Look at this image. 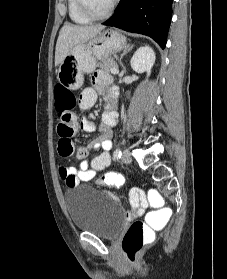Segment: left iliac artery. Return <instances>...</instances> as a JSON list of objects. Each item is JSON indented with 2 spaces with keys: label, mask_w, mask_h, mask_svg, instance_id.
<instances>
[{
  "label": "left iliac artery",
  "mask_w": 227,
  "mask_h": 279,
  "mask_svg": "<svg viewBox=\"0 0 227 279\" xmlns=\"http://www.w3.org/2000/svg\"><path fill=\"white\" fill-rule=\"evenodd\" d=\"M121 155H122L121 147H118V148L114 151L113 156H114L115 159H119V158H121Z\"/></svg>",
  "instance_id": "1"
}]
</instances>
